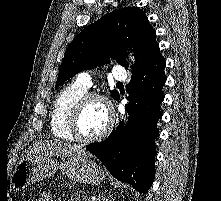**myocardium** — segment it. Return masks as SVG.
Here are the masks:
<instances>
[{
    "label": "myocardium",
    "instance_id": "1",
    "mask_svg": "<svg viewBox=\"0 0 221 201\" xmlns=\"http://www.w3.org/2000/svg\"><path fill=\"white\" fill-rule=\"evenodd\" d=\"M94 100L100 101L104 104L108 115V123L107 126L104 128V130L101 131L99 134L94 136H84L83 134H81L79 130V120L86 105ZM114 123H115L114 109L109 98L97 92H86L74 104L70 113L68 125H69V131L75 140L85 143H90L98 141L104 138L105 136H107L110 133V131L113 129Z\"/></svg>",
    "mask_w": 221,
    "mask_h": 201
}]
</instances>
